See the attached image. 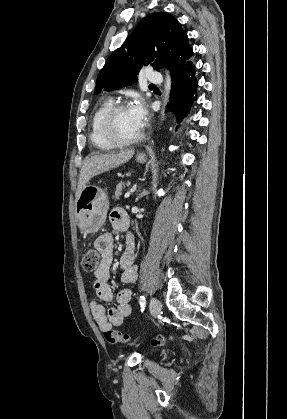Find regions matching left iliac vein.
Returning a JSON list of instances; mask_svg holds the SVG:
<instances>
[{"label": "left iliac vein", "instance_id": "obj_1", "mask_svg": "<svg viewBox=\"0 0 287 419\" xmlns=\"http://www.w3.org/2000/svg\"><path fill=\"white\" fill-rule=\"evenodd\" d=\"M161 308V302L156 298H152L150 301V312L152 316H158L161 313Z\"/></svg>", "mask_w": 287, "mask_h": 419}]
</instances>
